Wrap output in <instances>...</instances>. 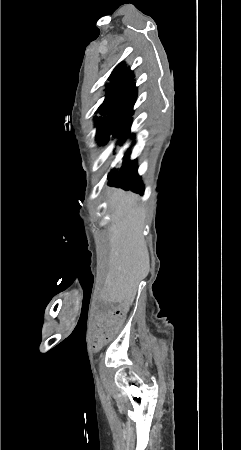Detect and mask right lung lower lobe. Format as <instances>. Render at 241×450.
<instances>
[{
	"label": "right lung lower lobe",
	"instance_id": "98d812e1",
	"mask_svg": "<svg viewBox=\"0 0 241 450\" xmlns=\"http://www.w3.org/2000/svg\"><path fill=\"white\" fill-rule=\"evenodd\" d=\"M137 162L131 161L126 155L120 170L115 169L108 175L109 185L120 187L125 190H132L133 192L143 194L144 189L141 183V177L137 173Z\"/></svg>",
	"mask_w": 241,
	"mask_h": 450
}]
</instances>
